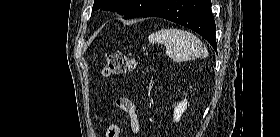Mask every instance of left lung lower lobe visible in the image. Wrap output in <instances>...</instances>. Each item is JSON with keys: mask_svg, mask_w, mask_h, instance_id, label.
I'll list each match as a JSON object with an SVG mask.
<instances>
[{"mask_svg": "<svg viewBox=\"0 0 280 137\" xmlns=\"http://www.w3.org/2000/svg\"><path fill=\"white\" fill-rule=\"evenodd\" d=\"M142 17H160L188 27L217 50L211 0H160Z\"/></svg>", "mask_w": 280, "mask_h": 137, "instance_id": "obj_1", "label": "left lung lower lobe"}]
</instances>
